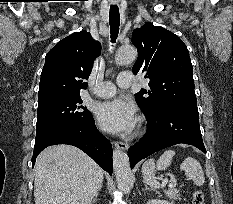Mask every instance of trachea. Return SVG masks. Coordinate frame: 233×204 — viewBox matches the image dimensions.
<instances>
[{"label": "trachea", "mask_w": 233, "mask_h": 204, "mask_svg": "<svg viewBox=\"0 0 233 204\" xmlns=\"http://www.w3.org/2000/svg\"><path fill=\"white\" fill-rule=\"evenodd\" d=\"M109 23L111 31V42L115 43L118 37L119 25H120V14L118 6H111L109 13Z\"/></svg>", "instance_id": "trachea-1"}]
</instances>
